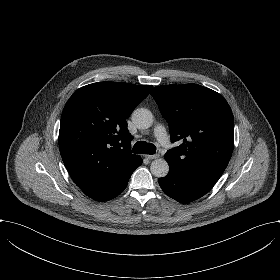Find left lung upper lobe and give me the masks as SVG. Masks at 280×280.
<instances>
[{
	"label": "left lung upper lobe",
	"instance_id": "obj_1",
	"mask_svg": "<svg viewBox=\"0 0 280 280\" xmlns=\"http://www.w3.org/2000/svg\"><path fill=\"white\" fill-rule=\"evenodd\" d=\"M151 95L169 124L172 142L183 141L165 154L169 166L220 178L234 146L233 114L224 97L193 83L157 86Z\"/></svg>",
	"mask_w": 280,
	"mask_h": 280
}]
</instances>
